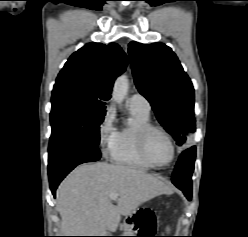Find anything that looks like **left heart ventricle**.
Segmentation results:
<instances>
[{"label": "left heart ventricle", "mask_w": 248, "mask_h": 237, "mask_svg": "<svg viewBox=\"0 0 248 237\" xmlns=\"http://www.w3.org/2000/svg\"><path fill=\"white\" fill-rule=\"evenodd\" d=\"M146 149L149 158L156 164H165L171 156V146L164 135L159 132H151L146 141Z\"/></svg>", "instance_id": "b2bd125f"}]
</instances>
